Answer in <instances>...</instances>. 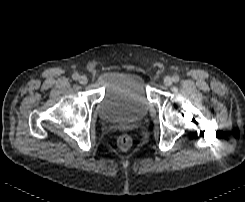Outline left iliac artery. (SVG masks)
Instances as JSON below:
<instances>
[{
  "mask_svg": "<svg viewBox=\"0 0 245 202\" xmlns=\"http://www.w3.org/2000/svg\"><path fill=\"white\" fill-rule=\"evenodd\" d=\"M173 81L175 82V83H177L178 81H179V76H177V75H175V76H173Z\"/></svg>",
  "mask_w": 245,
  "mask_h": 202,
  "instance_id": "obj_1",
  "label": "left iliac artery"
}]
</instances>
